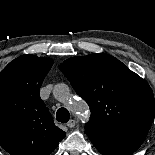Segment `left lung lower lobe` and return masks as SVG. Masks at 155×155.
Instances as JSON below:
<instances>
[{
  "instance_id": "1",
  "label": "left lung lower lobe",
  "mask_w": 155,
  "mask_h": 155,
  "mask_svg": "<svg viewBox=\"0 0 155 155\" xmlns=\"http://www.w3.org/2000/svg\"><path fill=\"white\" fill-rule=\"evenodd\" d=\"M148 132H134L110 137L88 136L93 145L103 155H130L134 153L146 138Z\"/></svg>"
}]
</instances>
